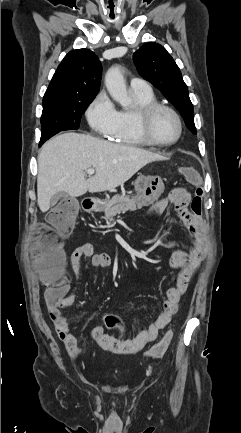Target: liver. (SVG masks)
<instances>
[{
	"mask_svg": "<svg viewBox=\"0 0 241 433\" xmlns=\"http://www.w3.org/2000/svg\"><path fill=\"white\" fill-rule=\"evenodd\" d=\"M161 155L128 145L114 144L88 134L65 133L47 141L38 155L37 202L50 208L58 192L71 197L112 190L128 181L142 167L162 160ZM95 169L86 179L85 171Z\"/></svg>",
	"mask_w": 241,
	"mask_h": 433,
	"instance_id": "6515ba94",
	"label": "liver"
}]
</instances>
